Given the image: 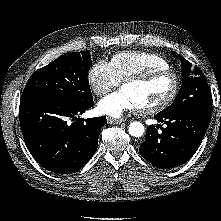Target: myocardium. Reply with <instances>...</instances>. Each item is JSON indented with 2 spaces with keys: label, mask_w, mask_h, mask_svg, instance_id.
<instances>
[{
  "label": "myocardium",
  "mask_w": 221,
  "mask_h": 221,
  "mask_svg": "<svg viewBox=\"0 0 221 221\" xmlns=\"http://www.w3.org/2000/svg\"><path fill=\"white\" fill-rule=\"evenodd\" d=\"M163 76H169L172 78L173 85H172L171 92L160 103L153 105V106L139 108L140 112L144 114H156L168 108L178 96L180 85H181L180 76L175 71L171 70L170 68L155 69V70H149L140 74L129 76L122 81V87H123L124 85L130 84V83L145 84Z\"/></svg>",
  "instance_id": "f54148a6"
}]
</instances>
